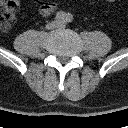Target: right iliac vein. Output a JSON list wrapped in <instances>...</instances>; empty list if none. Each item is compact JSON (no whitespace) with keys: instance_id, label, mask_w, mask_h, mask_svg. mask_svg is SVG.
<instances>
[{"instance_id":"obj_1","label":"right iliac vein","mask_w":128,"mask_h":128,"mask_svg":"<svg viewBox=\"0 0 128 128\" xmlns=\"http://www.w3.org/2000/svg\"><path fill=\"white\" fill-rule=\"evenodd\" d=\"M56 27H58V21H52V22H49L47 25H46V28L48 30H53L55 29Z\"/></svg>"}]
</instances>
